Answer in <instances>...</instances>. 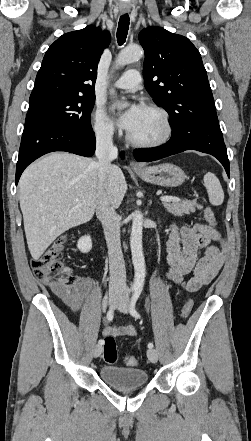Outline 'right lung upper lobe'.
I'll use <instances>...</instances> for the list:
<instances>
[{
	"label": "right lung upper lobe",
	"instance_id": "right-lung-upper-lobe-1",
	"mask_svg": "<svg viewBox=\"0 0 251 441\" xmlns=\"http://www.w3.org/2000/svg\"><path fill=\"white\" fill-rule=\"evenodd\" d=\"M110 33L87 26L59 37L47 50L30 101L54 96H95L97 66Z\"/></svg>",
	"mask_w": 251,
	"mask_h": 441
}]
</instances>
